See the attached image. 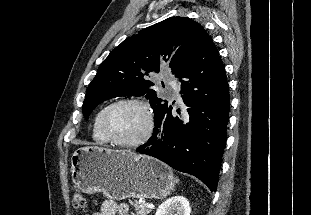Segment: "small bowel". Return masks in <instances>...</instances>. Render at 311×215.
<instances>
[{
    "label": "small bowel",
    "instance_id": "c3829d8e",
    "mask_svg": "<svg viewBox=\"0 0 311 215\" xmlns=\"http://www.w3.org/2000/svg\"><path fill=\"white\" fill-rule=\"evenodd\" d=\"M88 215H129V208L126 204H118L113 200H105L99 211Z\"/></svg>",
    "mask_w": 311,
    "mask_h": 215
}]
</instances>
